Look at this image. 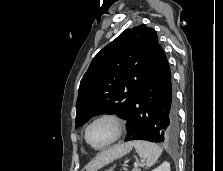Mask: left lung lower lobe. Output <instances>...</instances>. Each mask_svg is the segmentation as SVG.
Masks as SVG:
<instances>
[{
    "mask_svg": "<svg viewBox=\"0 0 223 171\" xmlns=\"http://www.w3.org/2000/svg\"><path fill=\"white\" fill-rule=\"evenodd\" d=\"M126 120L128 135L125 141L174 143L178 138L179 120L171 71L160 45Z\"/></svg>",
    "mask_w": 223,
    "mask_h": 171,
    "instance_id": "1",
    "label": "left lung lower lobe"
}]
</instances>
